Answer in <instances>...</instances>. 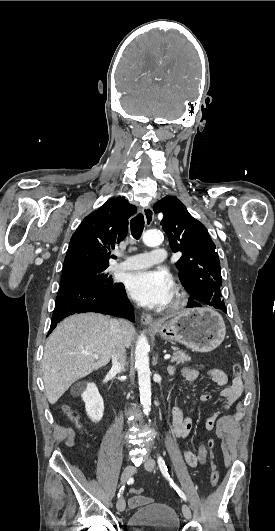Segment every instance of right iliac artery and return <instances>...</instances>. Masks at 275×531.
<instances>
[{"instance_id":"1","label":"right iliac artery","mask_w":275,"mask_h":531,"mask_svg":"<svg viewBox=\"0 0 275 531\" xmlns=\"http://www.w3.org/2000/svg\"><path fill=\"white\" fill-rule=\"evenodd\" d=\"M124 487H125V486H122V487H121V489H120V491H119V493H118V497H120V495H121L122 492L124 491Z\"/></svg>"}]
</instances>
